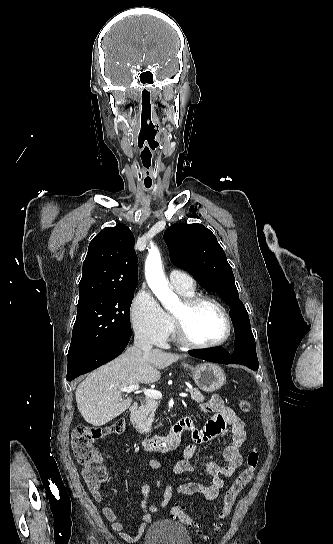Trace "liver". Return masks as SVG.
Returning <instances> with one entry per match:
<instances>
[{
  "mask_svg": "<svg viewBox=\"0 0 333 544\" xmlns=\"http://www.w3.org/2000/svg\"><path fill=\"white\" fill-rule=\"evenodd\" d=\"M178 354L152 349L144 354L130 347L118 358L91 372L75 392L79 412L86 422L103 426L127 410L132 398H122V387L151 384L160 379L163 369L179 358Z\"/></svg>",
  "mask_w": 333,
  "mask_h": 544,
  "instance_id": "liver-1",
  "label": "liver"
}]
</instances>
